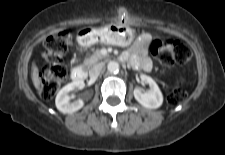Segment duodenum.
I'll list each match as a JSON object with an SVG mask.
<instances>
[{
    "label": "duodenum",
    "instance_id": "duodenum-1",
    "mask_svg": "<svg viewBox=\"0 0 225 155\" xmlns=\"http://www.w3.org/2000/svg\"><path fill=\"white\" fill-rule=\"evenodd\" d=\"M71 77L74 82H81L86 78V71L82 67H77L73 69Z\"/></svg>",
    "mask_w": 225,
    "mask_h": 155
}]
</instances>
